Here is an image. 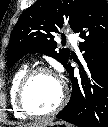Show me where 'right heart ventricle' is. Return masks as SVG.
<instances>
[{
	"label": "right heart ventricle",
	"instance_id": "obj_1",
	"mask_svg": "<svg viewBox=\"0 0 108 127\" xmlns=\"http://www.w3.org/2000/svg\"><path fill=\"white\" fill-rule=\"evenodd\" d=\"M28 71V66L22 65L20 66L13 74L11 81H10V87H9V99H10V104L13 109V112L17 118H26L27 116L21 112V110L17 106L16 102V94H17V89L19 86V83L23 76L26 74Z\"/></svg>",
	"mask_w": 108,
	"mask_h": 127
}]
</instances>
